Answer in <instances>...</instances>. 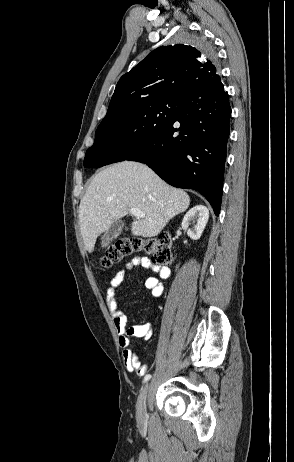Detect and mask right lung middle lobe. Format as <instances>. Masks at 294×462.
Returning <instances> with one entry per match:
<instances>
[{"mask_svg":"<svg viewBox=\"0 0 294 462\" xmlns=\"http://www.w3.org/2000/svg\"><path fill=\"white\" fill-rule=\"evenodd\" d=\"M178 40L205 52H214L202 35L180 34ZM183 97L166 95L147 99L105 116L95 133V142L86 152L104 157L105 165L125 160L135 149L164 128L175 116Z\"/></svg>","mask_w":294,"mask_h":462,"instance_id":"right-lung-middle-lobe-1","label":"right lung middle lobe"}]
</instances>
